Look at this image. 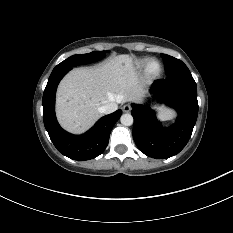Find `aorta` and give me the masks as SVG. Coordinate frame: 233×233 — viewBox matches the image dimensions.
Returning a JSON list of instances; mask_svg holds the SVG:
<instances>
[{
	"mask_svg": "<svg viewBox=\"0 0 233 233\" xmlns=\"http://www.w3.org/2000/svg\"><path fill=\"white\" fill-rule=\"evenodd\" d=\"M120 121L124 126H131L133 124V116L129 113L123 114L120 117Z\"/></svg>",
	"mask_w": 233,
	"mask_h": 233,
	"instance_id": "762f6f07",
	"label": "aorta"
}]
</instances>
